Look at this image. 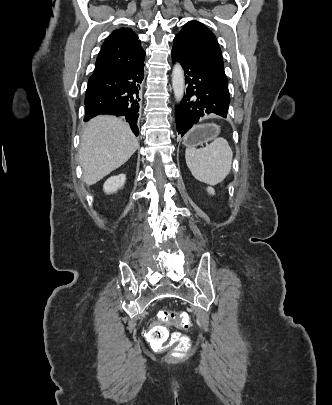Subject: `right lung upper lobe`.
Listing matches in <instances>:
<instances>
[{"label":"right lung upper lobe","mask_w":332,"mask_h":405,"mask_svg":"<svg viewBox=\"0 0 332 405\" xmlns=\"http://www.w3.org/2000/svg\"><path fill=\"white\" fill-rule=\"evenodd\" d=\"M144 56L141 42L131 29L115 30L102 44L94 73L125 68L141 61Z\"/></svg>","instance_id":"cb5924a9"}]
</instances>
